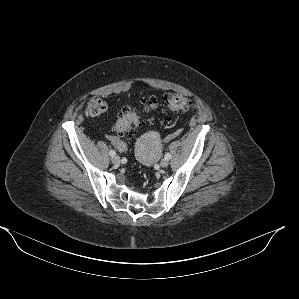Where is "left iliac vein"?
Returning <instances> with one entry per match:
<instances>
[{
    "instance_id": "1",
    "label": "left iliac vein",
    "mask_w": 299,
    "mask_h": 299,
    "mask_svg": "<svg viewBox=\"0 0 299 299\" xmlns=\"http://www.w3.org/2000/svg\"><path fill=\"white\" fill-rule=\"evenodd\" d=\"M168 165H169L168 160H166V159L161 160V162H160V166H161L162 168H166Z\"/></svg>"
}]
</instances>
